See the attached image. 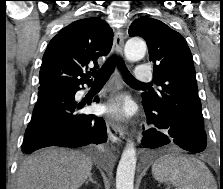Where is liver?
<instances>
[{"label": "liver", "mask_w": 223, "mask_h": 189, "mask_svg": "<svg viewBox=\"0 0 223 189\" xmlns=\"http://www.w3.org/2000/svg\"><path fill=\"white\" fill-rule=\"evenodd\" d=\"M90 157L64 148H47L27 157L17 174V189H78L92 169Z\"/></svg>", "instance_id": "obj_1"}]
</instances>
